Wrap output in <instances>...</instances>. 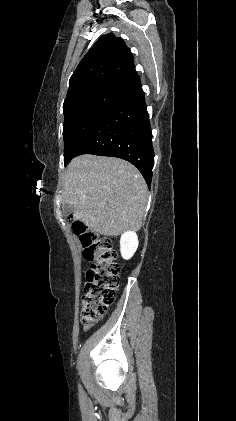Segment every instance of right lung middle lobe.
Returning <instances> with one entry per match:
<instances>
[{
  "mask_svg": "<svg viewBox=\"0 0 236 421\" xmlns=\"http://www.w3.org/2000/svg\"><path fill=\"white\" fill-rule=\"evenodd\" d=\"M128 91L118 85L90 89L64 101V162L67 165L81 139L97 125Z\"/></svg>",
  "mask_w": 236,
  "mask_h": 421,
  "instance_id": "dd1d6c3e",
  "label": "right lung middle lobe"
}]
</instances>
